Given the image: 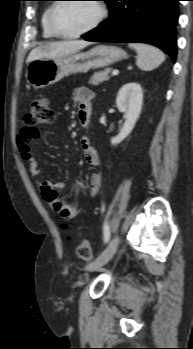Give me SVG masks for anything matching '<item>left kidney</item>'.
<instances>
[{"mask_svg": "<svg viewBox=\"0 0 193 349\" xmlns=\"http://www.w3.org/2000/svg\"><path fill=\"white\" fill-rule=\"evenodd\" d=\"M120 112L125 114V123L116 137L111 138V144L121 143L133 130L141 113L143 104V91L140 84L130 82L121 87L116 98Z\"/></svg>", "mask_w": 193, "mask_h": 349, "instance_id": "1", "label": "left kidney"}]
</instances>
